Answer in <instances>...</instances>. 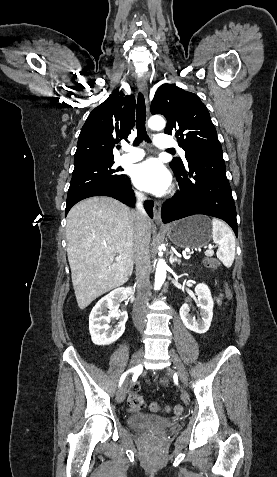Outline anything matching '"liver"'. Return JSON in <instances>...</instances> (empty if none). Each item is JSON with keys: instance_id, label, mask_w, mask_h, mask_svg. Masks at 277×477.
Returning <instances> with one entry per match:
<instances>
[{"instance_id": "1", "label": "liver", "mask_w": 277, "mask_h": 477, "mask_svg": "<svg viewBox=\"0 0 277 477\" xmlns=\"http://www.w3.org/2000/svg\"><path fill=\"white\" fill-rule=\"evenodd\" d=\"M148 234L150 242V221ZM66 240L80 309L128 281L134 265L135 217L134 211L118 200L92 197L72 207Z\"/></svg>"}]
</instances>
